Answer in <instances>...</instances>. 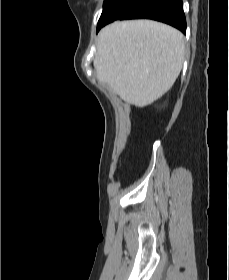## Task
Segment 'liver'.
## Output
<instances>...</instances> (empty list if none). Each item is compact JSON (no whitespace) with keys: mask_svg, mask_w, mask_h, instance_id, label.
<instances>
[{"mask_svg":"<svg viewBox=\"0 0 229 280\" xmlns=\"http://www.w3.org/2000/svg\"><path fill=\"white\" fill-rule=\"evenodd\" d=\"M184 54L177 29L151 20L119 21L100 31L93 64L99 82L125 102L144 107L172 87Z\"/></svg>","mask_w":229,"mask_h":280,"instance_id":"6515ba94","label":"liver"}]
</instances>
